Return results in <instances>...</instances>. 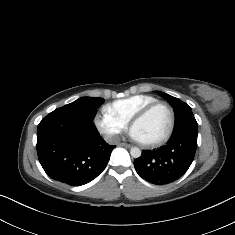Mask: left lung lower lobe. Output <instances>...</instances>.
I'll return each mask as SVG.
<instances>
[{"label": "left lung lower lobe", "instance_id": "left-lung-lower-lobe-1", "mask_svg": "<svg viewBox=\"0 0 235 235\" xmlns=\"http://www.w3.org/2000/svg\"><path fill=\"white\" fill-rule=\"evenodd\" d=\"M197 148V136H173L167 145L154 151H142L134 161L137 173L153 184H168L180 178L190 167Z\"/></svg>", "mask_w": 235, "mask_h": 235}]
</instances>
